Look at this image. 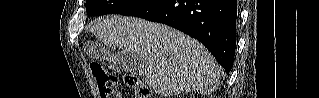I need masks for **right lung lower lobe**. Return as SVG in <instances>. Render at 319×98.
Returning <instances> with one entry per match:
<instances>
[{"mask_svg":"<svg viewBox=\"0 0 319 98\" xmlns=\"http://www.w3.org/2000/svg\"><path fill=\"white\" fill-rule=\"evenodd\" d=\"M122 15L167 24L199 40L228 74L236 46V0H146Z\"/></svg>","mask_w":319,"mask_h":98,"instance_id":"obj_1","label":"right lung lower lobe"}]
</instances>
